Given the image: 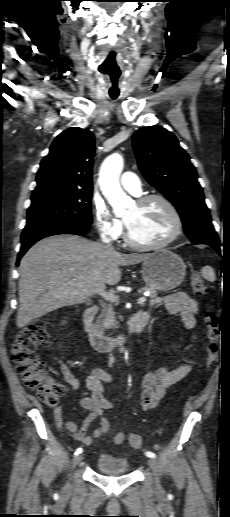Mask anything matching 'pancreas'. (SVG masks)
Returning <instances> with one entry per match:
<instances>
[{"mask_svg":"<svg viewBox=\"0 0 230 517\" xmlns=\"http://www.w3.org/2000/svg\"><path fill=\"white\" fill-rule=\"evenodd\" d=\"M148 291L150 294V298H156L157 297V291L155 289H152L150 287H142L140 290H139V293H143V292H146ZM102 311L96 321V325L101 328L102 330L104 329H110V328H117V322L115 320V313H114V310H113V306L111 304H105L103 303L102 305Z\"/></svg>","mask_w":230,"mask_h":517,"instance_id":"1","label":"pancreas"}]
</instances>
